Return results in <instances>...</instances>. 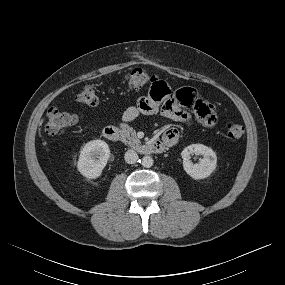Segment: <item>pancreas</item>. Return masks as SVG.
Returning a JSON list of instances; mask_svg holds the SVG:
<instances>
[{
    "label": "pancreas",
    "mask_w": 285,
    "mask_h": 285,
    "mask_svg": "<svg viewBox=\"0 0 285 285\" xmlns=\"http://www.w3.org/2000/svg\"><path fill=\"white\" fill-rule=\"evenodd\" d=\"M125 136L127 138L126 142L130 146L135 147L140 145V140L137 138L135 131H133L131 128H127L125 130Z\"/></svg>",
    "instance_id": "cf45deb5"
}]
</instances>
